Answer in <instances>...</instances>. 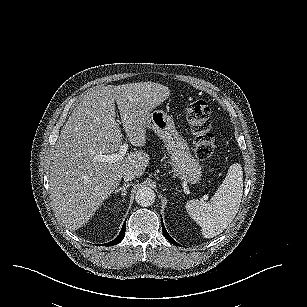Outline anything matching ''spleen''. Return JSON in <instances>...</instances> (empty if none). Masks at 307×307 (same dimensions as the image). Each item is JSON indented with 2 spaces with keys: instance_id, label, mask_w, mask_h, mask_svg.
Returning a JSON list of instances; mask_svg holds the SVG:
<instances>
[{
  "instance_id": "obj_1",
  "label": "spleen",
  "mask_w": 307,
  "mask_h": 307,
  "mask_svg": "<svg viewBox=\"0 0 307 307\" xmlns=\"http://www.w3.org/2000/svg\"><path fill=\"white\" fill-rule=\"evenodd\" d=\"M243 195V171L240 163L230 165L227 175L210 202H187L189 215L202 227L205 238L221 234L234 220Z\"/></svg>"
}]
</instances>
